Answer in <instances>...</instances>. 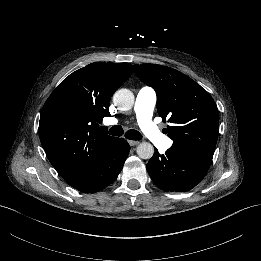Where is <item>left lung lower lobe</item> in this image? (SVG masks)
Returning a JSON list of instances; mask_svg holds the SVG:
<instances>
[{"instance_id":"obj_1","label":"left lung lower lobe","mask_w":261,"mask_h":261,"mask_svg":"<svg viewBox=\"0 0 261 261\" xmlns=\"http://www.w3.org/2000/svg\"><path fill=\"white\" fill-rule=\"evenodd\" d=\"M213 155L193 148L171 147L160 155L157 150L146 165L152 181L168 192H187L206 175Z\"/></svg>"}]
</instances>
